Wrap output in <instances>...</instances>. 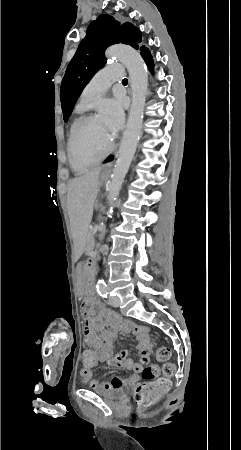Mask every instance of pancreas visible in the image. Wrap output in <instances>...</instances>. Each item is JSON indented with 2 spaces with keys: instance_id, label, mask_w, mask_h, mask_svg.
<instances>
[{
  "instance_id": "pancreas-1",
  "label": "pancreas",
  "mask_w": 241,
  "mask_h": 450,
  "mask_svg": "<svg viewBox=\"0 0 241 450\" xmlns=\"http://www.w3.org/2000/svg\"><path fill=\"white\" fill-rule=\"evenodd\" d=\"M91 231L90 232H88V237H87V242H89V245H88V250H94V241H92V237H94V234L92 233L93 231H92V227H91V229H90ZM94 232H97V231H94Z\"/></svg>"
}]
</instances>
